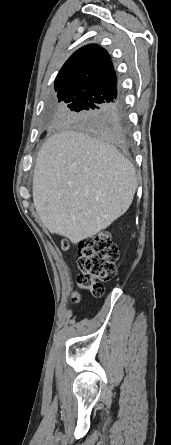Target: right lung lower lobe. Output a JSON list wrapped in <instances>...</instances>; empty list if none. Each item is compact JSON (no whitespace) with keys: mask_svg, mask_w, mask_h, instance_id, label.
I'll list each match as a JSON object with an SVG mask.
<instances>
[{"mask_svg":"<svg viewBox=\"0 0 171 445\" xmlns=\"http://www.w3.org/2000/svg\"><path fill=\"white\" fill-rule=\"evenodd\" d=\"M108 106L99 116V127L109 141L125 145L124 128H123V105L119 98L108 101Z\"/></svg>","mask_w":171,"mask_h":445,"instance_id":"98d812e1","label":"right lung lower lobe"}]
</instances>
